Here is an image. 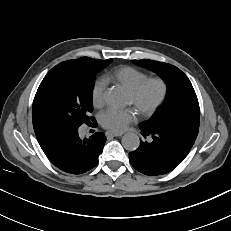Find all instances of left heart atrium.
<instances>
[{"label": "left heart atrium", "instance_id": "1", "mask_svg": "<svg viewBox=\"0 0 231 231\" xmlns=\"http://www.w3.org/2000/svg\"><path fill=\"white\" fill-rule=\"evenodd\" d=\"M136 118L137 113L133 108H109L101 114L100 123L104 128L112 132H122L129 124L134 122Z\"/></svg>", "mask_w": 231, "mask_h": 231}]
</instances>
